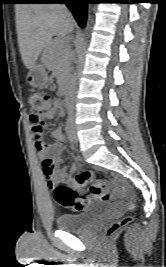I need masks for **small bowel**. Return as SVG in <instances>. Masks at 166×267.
Here are the masks:
<instances>
[{"instance_id": "c3829d8e", "label": "small bowel", "mask_w": 166, "mask_h": 267, "mask_svg": "<svg viewBox=\"0 0 166 267\" xmlns=\"http://www.w3.org/2000/svg\"><path fill=\"white\" fill-rule=\"evenodd\" d=\"M58 103H54L53 107L51 109H49L47 112H45L40 118L39 120L35 121L30 117V126H31V131L33 133V137H34V141H35V145L38 151V154L40 156V158L43 159V163L45 161H50L54 168L57 167V165L60 162V154L62 151L60 142L63 140L64 135H63V131L61 129H56L53 133H52V137L55 139L56 143L52 144V145H47L45 143V140L43 142V144H40L38 142V133L41 131L43 133L42 130V125L44 124L45 120L51 119L54 117V115L56 114L57 110H58ZM44 136V135H43ZM58 176L65 180L66 182H71L72 179L70 178V176L67 174L66 172V168H62L60 170H58ZM44 174L46 176V178L49 181L50 186H52L53 184V176L54 173L51 175H48L45 173ZM123 184L122 180L117 178V182L116 184H111L112 187H119ZM95 197H100L102 196V201H113V194L111 192H103V194H101L100 192H95L93 194ZM90 202V200L88 199V203Z\"/></svg>"}]
</instances>
